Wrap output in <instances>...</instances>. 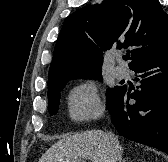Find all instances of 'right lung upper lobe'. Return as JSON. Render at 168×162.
Masks as SVG:
<instances>
[{
  "label": "right lung upper lobe",
  "mask_w": 168,
  "mask_h": 162,
  "mask_svg": "<svg viewBox=\"0 0 168 162\" xmlns=\"http://www.w3.org/2000/svg\"><path fill=\"white\" fill-rule=\"evenodd\" d=\"M131 51L130 69L168 49V15L157 0H105L69 15L54 49L48 85L101 71L103 51Z\"/></svg>",
  "instance_id": "right-lung-upper-lobe-1"
}]
</instances>
